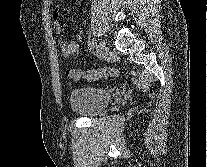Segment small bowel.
I'll use <instances>...</instances> for the list:
<instances>
[{
    "mask_svg": "<svg viewBox=\"0 0 207 167\" xmlns=\"http://www.w3.org/2000/svg\"><path fill=\"white\" fill-rule=\"evenodd\" d=\"M53 18H54V27H55L56 32L59 35H62L64 28H63L62 23L58 19L59 18L58 9H55V11L53 13ZM82 39H83V32L82 31H79L76 34V41L75 42H68L65 38L61 37L59 40V44L61 47L62 55L65 58H68L71 55L75 54L78 50L79 42H81Z\"/></svg>",
    "mask_w": 207,
    "mask_h": 167,
    "instance_id": "c3829d8e",
    "label": "small bowel"
}]
</instances>
